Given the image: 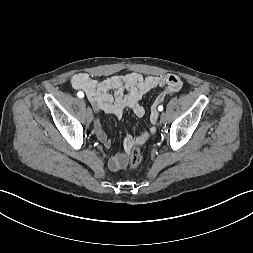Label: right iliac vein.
<instances>
[{"instance_id": "63e3f726", "label": "right iliac vein", "mask_w": 253, "mask_h": 253, "mask_svg": "<svg viewBox=\"0 0 253 253\" xmlns=\"http://www.w3.org/2000/svg\"><path fill=\"white\" fill-rule=\"evenodd\" d=\"M86 119H87V121H88L89 123H91L92 120H93V113H92L91 108H87Z\"/></svg>"}]
</instances>
